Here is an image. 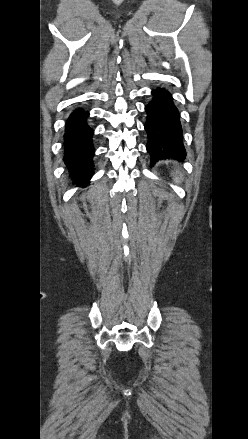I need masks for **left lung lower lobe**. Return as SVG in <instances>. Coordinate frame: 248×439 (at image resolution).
<instances>
[{
	"instance_id": "1",
	"label": "left lung lower lobe",
	"mask_w": 248,
	"mask_h": 439,
	"mask_svg": "<svg viewBox=\"0 0 248 439\" xmlns=\"http://www.w3.org/2000/svg\"><path fill=\"white\" fill-rule=\"evenodd\" d=\"M153 98L145 106L147 121L145 130L148 134L147 151L151 164L165 158H184L183 132L180 114L173 97L164 88L152 90Z\"/></svg>"
}]
</instances>
